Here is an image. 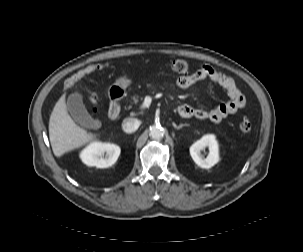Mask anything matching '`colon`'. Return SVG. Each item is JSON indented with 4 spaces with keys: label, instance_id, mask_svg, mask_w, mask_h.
<instances>
[{
    "label": "colon",
    "instance_id": "obj_1",
    "mask_svg": "<svg viewBox=\"0 0 303 252\" xmlns=\"http://www.w3.org/2000/svg\"><path fill=\"white\" fill-rule=\"evenodd\" d=\"M170 70L177 72V73H187L190 69V65L185 60L175 59L170 61L169 63ZM107 69L106 64H94L86 67L85 69L78 71L75 75H73L70 79H68V84H73L77 80L81 79L84 76L91 75L93 73H100L104 72ZM90 99L94 102L96 96L94 94L90 95ZM252 130V125L250 121L247 119H242L239 123V131L242 134H249Z\"/></svg>",
    "mask_w": 303,
    "mask_h": 252
}]
</instances>
